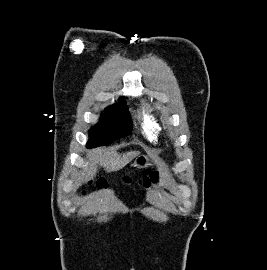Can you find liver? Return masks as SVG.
<instances>
[{
	"label": "liver",
	"instance_id": "1",
	"mask_svg": "<svg viewBox=\"0 0 267 270\" xmlns=\"http://www.w3.org/2000/svg\"><path fill=\"white\" fill-rule=\"evenodd\" d=\"M139 152H128L123 155H119L113 151L109 152L103 149H95L89 154L90 166L99 162L100 165L107 171H117L123 168L131 160L136 158Z\"/></svg>",
	"mask_w": 267,
	"mask_h": 270
}]
</instances>
